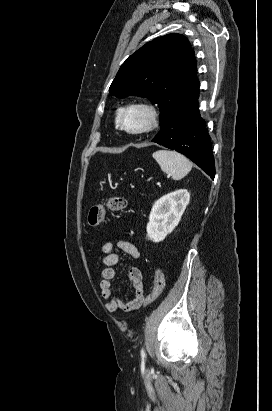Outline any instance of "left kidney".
<instances>
[{"mask_svg":"<svg viewBox=\"0 0 272 411\" xmlns=\"http://www.w3.org/2000/svg\"><path fill=\"white\" fill-rule=\"evenodd\" d=\"M190 194L185 189L171 192L157 200L150 212L147 236L153 242H160L179 224L189 204Z\"/></svg>","mask_w":272,"mask_h":411,"instance_id":"5707ae66","label":"left kidney"}]
</instances>
